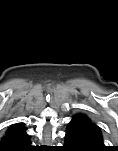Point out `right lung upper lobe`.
Returning a JSON list of instances; mask_svg holds the SVG:
<instances>
[{
  "instance_id": "right-lung-upper-lobe-1",
  "label": "right lung upper lobe",
  "mask_w": 118,
  "mask_h": 151,
  "mask_svg": "<svg viewBox=\"0 0 118 151\" xmlns=\"http://www.w3.org/2000/svg\"><path fill=\"white\" fill-rule=\"evenodd\" d=\"M29 140V135L24 126L17 123L10 127L1 139L0 151H14Z\"/></svg>"
}]
</instances>
